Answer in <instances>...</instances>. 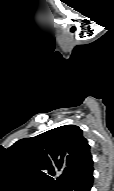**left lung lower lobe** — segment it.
<instances>
[{
    "label": "left lung lower lobe",
    "mask_w": 114,
    "mask_h": 191,
    "mask_svg": "<svg viewBox=\"0 0 114 191\" xmlns=\"http://www.w3.org/2000/svg\"><path fill=\"white\" fill-rule=\"evenodd\" d=\"M93 184V161L89 158L60 191H90Z\"/></svg>",
    "instance_id": "left-lung-lower-lobe-1"
}]
</instances>
